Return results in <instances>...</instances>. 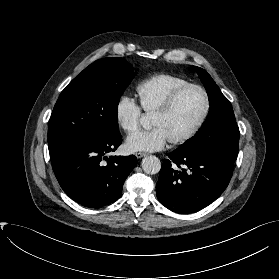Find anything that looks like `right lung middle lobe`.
<instances>
[{
  "instance_id": "dd1d6c3e",
  "label": "right lung middle lobe",
  "mask_w": 279,
  "mask_h": 279,
  "mask_svg": "<svg viewBox=\"0 0 279 279\" xmlns=\"http://www.w3.org/2000/svg\"><path fill=\"white\" fill-rule=\"evenodd\" d=\"M134 76L122 58H103L84 69L61 92L51 115L48 148L118 134L119 99Z\"/></svg>"
}]
</instances>
